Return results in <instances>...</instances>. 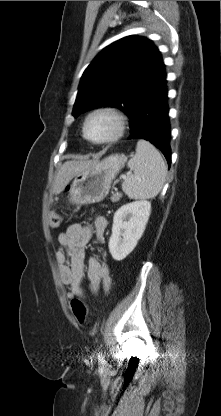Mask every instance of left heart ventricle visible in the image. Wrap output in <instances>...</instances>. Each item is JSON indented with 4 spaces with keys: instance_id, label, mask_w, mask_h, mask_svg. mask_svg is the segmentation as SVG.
Returning <instances> with one entry per match:
<instances>
[{
    "instance_id": "b2bd125f",
    "label": "left heart ventricle",
    "mask_w": 221,
    "mask_h": 416,
    "mask_svg": "<svg viewBox=\"0 0 221 416\" xmlns=\"http://www.w3.org/2000/svg\"><path fill=\"white\" fill-rule=\"evenodd\" d=\"M115 128L114 120L107 115L93 117L88 123L87 132L90 137L102 139L109 136Z\"/></svg>"
}]
</instances>
